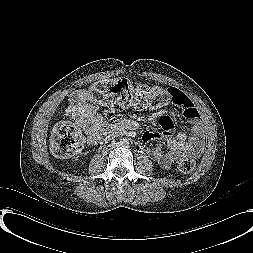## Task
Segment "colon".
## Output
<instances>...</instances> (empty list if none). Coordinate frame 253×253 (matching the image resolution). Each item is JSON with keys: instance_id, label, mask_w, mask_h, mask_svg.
<instances>
[{"instance_id": "1", "label": "colon", "mask_w": 253, "mask_h": 253, "mask_svg": "<svg viewBox=\"0 0 253 253\" xmlns=\"http://www.w3.org/2000/svg\"><path fill=\"white\" fill-rule=\"evenodd\" d=\"M88 94L95 102L103 105L147 109L174 101L176 92L170 88L146 87L131 84L125 79H111L96 83ZM82 146V134L74 124L62 122L56 126L51 136V150L56 157H71ZM178 167L181 172L190 173L195 168V161L191 157H183L179 160Z\"/></svg>"}]
</instances>
